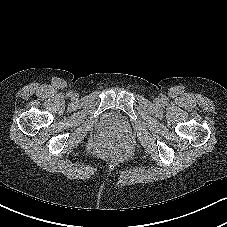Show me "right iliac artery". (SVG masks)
I'll return each mask as SVG.
<instances>
[{"mask_svg":"<svg viewBox=\"0 0 227 227\" xmlns=\"http://www.w3.org/2000/svg\"><path fill=\"white\" fill-rule=\"evenodd\" d=\"M67 96H68V97L72 96V92H70V91L67 92Z\"/></svg>","mask_w":227,"mask_h":227,"instance_id":"1","label":"right iliac artery"}]
</instances>
